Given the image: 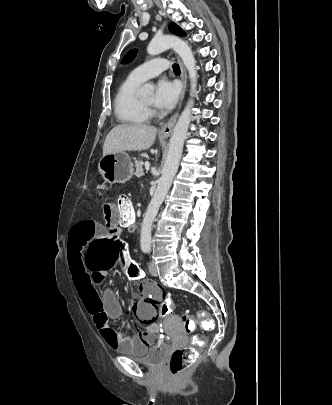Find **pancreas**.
<instances>
[{
	"mask_svg": "<svg viewBox=\"0 0 332 405\" xmlns=\"http://www.w3.org/2000/svg\"><path fill=\"white\" fill-rule=\"evenodd\" d=\"M143 164L144 163L141 160L135 161V168H136L135 176L138 178L145 175L144 169H143Z\"/></svg>",
	"mask_w": 332,
	"mask_h": 405,
	"instance_id": "cf45deb5",
	"label": "pancreas"
}]
</instances>
